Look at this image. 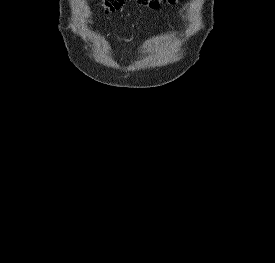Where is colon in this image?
<instances>
[{
    "mask_svg": "<svg viewBox=\"0 0 275 263\" xmlns=\"http://www.w3.org/2000/svg\"><path fill=\"white\" fill-rule=\"evenodd\" d=\"M137 4L146 6L152 10H158L166 3H173L175 0H135ZM125 0H100L101 6L107 13H113L123 6Z\"/></svg>",
    "mask_w": 275,
    "mask_h": 263,
    "instance_id": "colon-1",
    "label": "colon"
}]
</instances>
